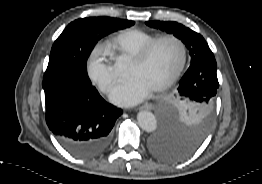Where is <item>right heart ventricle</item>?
Listing matches in <instances>:
<instances>
[{"instance_id": "1", "label": "right heart ventricle", "mask_w": 262, "mask_h": 184, "mask_svg": "<svg viewBox=\"0 0 262 184\" xmlns=\"http://www.w3.org/2000/svg\"><path fill=\"white\" fill-rule=\"evenodd\" d=\"M158 37L156 34L140 29H126L111 39V51L119 59L123 57L132 59L141 49Z\"/></svg>"}]
</instances>
